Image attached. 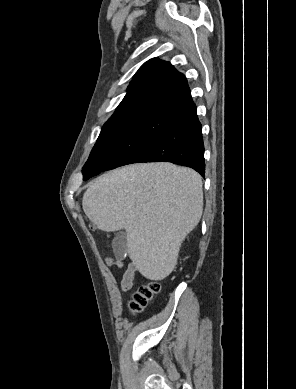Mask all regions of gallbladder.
<instances>
[{
    "label": "gallbladder",
    "instance_id": "gallbladder-1",
    "mask_svg": "<svg viewBox=\"0 0 296 389\" xmlns=\"http://www.w3.org/2000/svg\"><path fill=\"white\" fill-rule=\"evenodd\" d=\"M112 246L115 255L118 258H123L127 253V234L125 231H119L115 234L112 241Z\"/></svg>",
    "mask_w": 296,
    "mask_h": 389
}]
</instances>
